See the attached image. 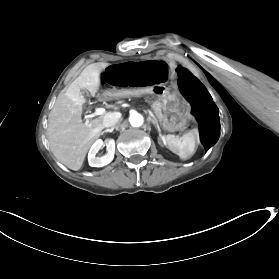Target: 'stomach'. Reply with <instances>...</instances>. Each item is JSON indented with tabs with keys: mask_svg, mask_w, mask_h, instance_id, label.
Wrapping results in <instances>:
<instances>
[{
	"mask_svg": "<svg viewBox=\"0 0 279 279\" xmlns=\"http://www.w3.org/2000/svg\"><path fill=\"white\" fill-rule=\"evenodd\" d=\"M150 106L161 122L162 128L168 132L181 130V127L190 117L187 101L180 96H174L160 102L153 100Z\"/></svg>",
	"mask_w": 279,
	"mask_h": 279,
	"instance_id": "1",
	"label": "stomach"
}]
</instances>
